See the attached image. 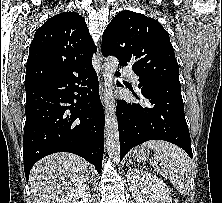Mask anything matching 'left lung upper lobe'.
Masks as SVG:
<instances>
[{
	"label": "left lung upper lobe",
	"instance_id": "1",
	"mask_svg": "<svg viewBox=\"0 0 222 203\" xmlns=\"http://www.w3.org/2000/svg\"><path fill=\"white\" fill-rule=\"evenodd\" d=\"M102 54L116 56L120 66L132 65L139 83L180 84L169 34L157 20L145 15L128 10L118 13L103 33Z\"/></svg>",
	"mask_w": 222,
	"mask_h": 203
}]
</instances>
